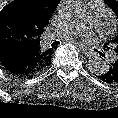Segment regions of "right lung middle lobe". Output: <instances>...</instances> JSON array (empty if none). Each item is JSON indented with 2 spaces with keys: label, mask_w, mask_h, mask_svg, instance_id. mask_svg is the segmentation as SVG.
Masks as SVG:
<instances>
[{
  "label": "right lung middle lobe",
  "mask_w": 118,
  "mask_h": 118,
  "mask_svg": "<svg viewBox=\"0 0 118 118\" xmlns=\"http://www.w3.org/2000/svg\"><path fill=\"white\" fill-rule=\"evenodd\" d=\"M0 19L10 27L16 36H22L31 30L29 21V3L14 0L0 12Z\"/></svg>",
  "instance_id": "dd1d6c3e"
}]
</instances>
